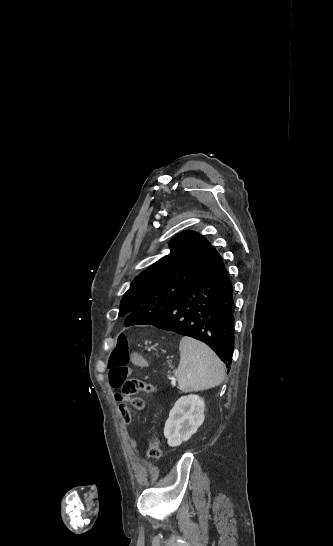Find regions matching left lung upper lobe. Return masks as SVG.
<instances>
[{"instance_id": "5c2ea615", "label": "left lung upper lobe", "mask_w": 333, "mask_h": 546, "mask_svg": "<svg viewBox=\"0 0 333 546\" xmlns=\"http://www.w3.org/2000/svg\"><path fill=\"white\" fill-rule=\"evenodd\" d=\"M170 254L137 276L121 300L119 315L139 314L142 324L155 322L195 280L213 251L200 234L185 231L169 244Z\"/></svg>"}]
</instances>
